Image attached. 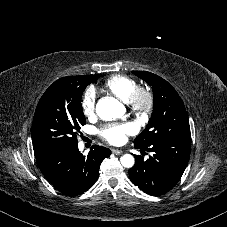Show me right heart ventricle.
I'll return each instance as SVG.
<instances>
[{
    "label": "right heart ventricle",
    "mask_w": 227,
    "mask_h": 227,
    "mask_svg": "<svg viewBox=\"0 0 227 227\" xmlns=\"http://www.w3.org/2000/svg\"><path fill=\"white\" fill-rule=\"evenodd\" d=\"M137 87L138 85L134 79L119 74L107 79L101 86V91L115 96L122 102H126Z\"/></svg>",
    "instance_id": "e07e8e85"
}]
</instances>
